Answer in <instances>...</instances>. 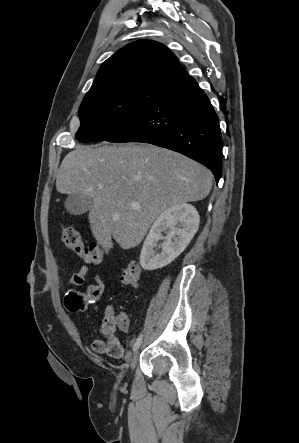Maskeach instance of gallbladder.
<instances>
[{
  "instance_id": "1",
  "label": "gallbladder",
  "mask_w": 299,
  "mask_h": 443,
  "mask_svg": "<svg viewBox=\"0 0 299 443\" xmlns=\"http://www.w3.org/2000/svg\"><path fill=\"white\" fill-rule=\"evenodd\" d=\"M93 200L82 193H73L65 201V209L72 215H82L90 210Z\"/></svg>"
}]
</instances>
